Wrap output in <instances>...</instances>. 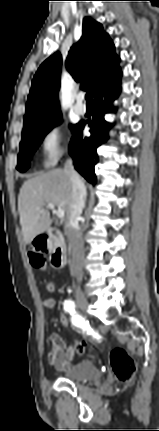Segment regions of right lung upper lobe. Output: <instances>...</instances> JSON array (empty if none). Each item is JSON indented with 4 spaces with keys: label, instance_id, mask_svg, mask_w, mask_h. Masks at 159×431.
Wrapping results in <instances>:
<instances>
[{
    "label": "right lung upper lobe",
    "instance_id": "right-lung-upper-lobe-1",
    "mask_svg": "<svg viewBox=\"0 0 159 431\" xmlns=\"http://www.w3.org/2000/svg\"><path fill=\"white\" fill-rule=\"evenodd\" d=\"M66 69L81 88L92 89L94 95L107 83L121 76L119 57L102 25L87 17L83 35L66 59ZM62 57L59 52L48 57L38 68L28 95L23 131L58 114Z\"/></svg>",
    "mask_w": 159,
    "mask_h": 431
}]
</instances>
